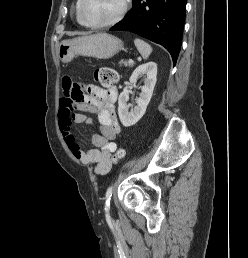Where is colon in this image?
Returning <instances> with one entry per match:
<instances>
[{"mask_svg":"<svg viewBox=\"0 0 248 258\" xmlns=\"http://www.w3.org/2000/svg\"><path fill=\"white\" fill-rule=\"evenodd\" d=\"M96 78L97 80L104 86H111L113 85L117 79H118V75L116 73V71L112 70V69H108V68H104V69H100L97 74H96ZM77 89V95L75 96L76 99H79L82 96V92L79 88V86H76ZM125 156V151L122 148H119L115 154L112 157V161L114 164H116L117 162H119L121 159H123Z\"/></svg>","mask_w":248,"mask_h":258,"instance_id":"obj_1","label":"colon"}]
</instances>
